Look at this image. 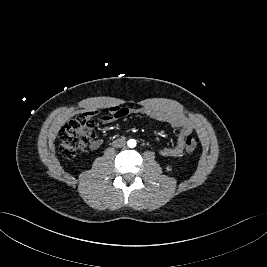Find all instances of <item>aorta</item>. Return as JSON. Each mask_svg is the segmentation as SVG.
Masks as SVG:
<instances>
[{
    "mask_svg": "<svg viewBox=\"0 0 267 267\" xmlns=\"http://www.w3.org/2000/svg\"><path fill=\"white\" fill-rule=\"evenodd\" d=\"M136 140L135 139H130V140H128V142H127V145H128V147L129 148H134V147H136Z\"/></svg>",
    "mask_w": 267,
    "mask_h": 267,
    "instance_id": "aorta-1",
    "label": "aorta"
}]
</instances>
